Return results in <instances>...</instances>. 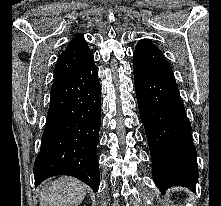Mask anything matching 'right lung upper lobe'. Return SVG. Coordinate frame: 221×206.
Wrapping results in <instances>:
<instances>
[{"mask_svg": "<svg viewBox=\"0 0 221 206\" xmlns=\"http://www.w3.org/2000/svg\"><path fill=\"white\" fill-rule=\"evenodd\" d=\"M94 62L93 54L83 36L77 35L59 57L54 69V82L65 80Z\"/></svg>", "mask_w": 221, "mask_h": 206, "instance_id": "cb5924a9", "label": "right lung upper lobe"}]
</instances>
